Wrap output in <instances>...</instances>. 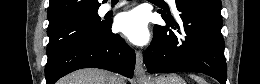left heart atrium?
<instances>
[{
	"label": "left heart atrium",
	"mask_w": 260,
	"mask_h": 84,
	"mask_svg": "<svg viewBox=\"0 0 260 84\" xmlns=\"http://www.w3.org/2000/svg\"><path fill=\"white\" fill-rule=\"evenodd\" d=\"M115 26L135 45H144L149 40L148 19L141 10L121 13L116 19Z\"/></svg>",
	"instance_id": "obj_1"
}]
</instances>
